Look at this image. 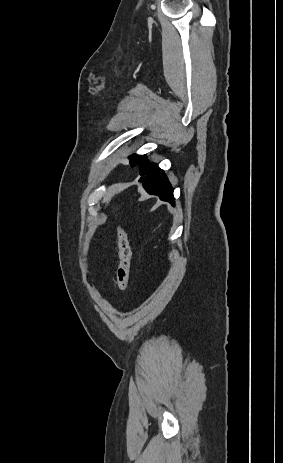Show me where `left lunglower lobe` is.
Returning a JSON list of instances; mask_svg holds the SVG:
<instances>
[{
  "label": "left lung lower lobe",
  "mask_w": 283,
  "mask_h": 463,
  "mask_svg": "<svg viewBox=\"0 0 283 463\" xmlns=\"http://www.w3.org/2000/svg\"><path fill=\"white\" fill-rule=\"evenodd\" d=\"M142 156L138 161L140 175L139 181L143 182L144 188L154 195H158L161 200L168 201L174 205L173 189L170 186L163 171L155 164H149Z\"/></svg>",
  "instance_id": "1"
}]
</instances>
